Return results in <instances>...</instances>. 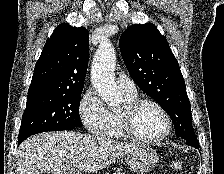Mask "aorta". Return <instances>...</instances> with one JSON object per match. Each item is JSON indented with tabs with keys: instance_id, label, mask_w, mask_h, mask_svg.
Wrapping results in <instances>:
<instances>
[{
	"instance_id": "obj_1",
	"label": "aorta",
	"mask_w": 224,
	"mask_h": 174,
	"mask_svg": "<svg viewBox=\"0 0 224 174\" xmlns=\"http://www.w3.org/2000/svg\"><path fill=\"white\" fill-rule=\"evenodd\" d=\"M115 64V49L107 42L101 43L94 56L91 82L109 106H117L122 101L121 93L115 83Z\"/></svg>"
}]
</instances>
